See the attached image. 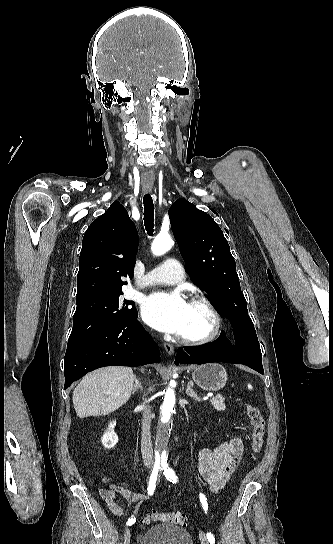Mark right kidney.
<instances>
[{
	"label": "right kidney",
	"mask_w": 333,
	"mask_h": 544,
	"mask_svg": "<svg viewBox=\"0 0 333 544\" xmlns=\"http://www.w3.org/2000/svg\"><path fill=\"white\" fill-rule=\"evenodd\" d=\"M114 425V423L110 422L108 426V431L105 432L101 438L103 446L107 449L113 448L118 442V436L113 430Z\"/></svg>",
	"instance_id": "ca27d5eb"
}]
</instances>
